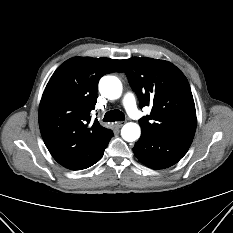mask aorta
Wrapping results in <instances>:
<instances>
[{
	"mask_svg": "<svg viewBox=\"0 0 233 233\" xmlns=\"http://www.w3.org/2000/svg\"><path fill=\"white\" fill-rule=\"evenodd\" d=\"M99 89L103 96L113 100L121 96L122 84L117 77L107 75L101 78ZM140 134V126L133 122L126 123L121 130L122 138L128 142L136 141L140 137Z\"/></svg>",
	"mask_w": 233,
	"mask_h": 233,
	"instance_id": "aorta-1",
	"label": "aorta"
}]
</instances>
